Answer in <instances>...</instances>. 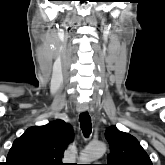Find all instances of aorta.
I'll return each instance as SVG.
<instances>
[{"instance_id":"obj_1","label":"aorta","mask_w":165,"mask_h":165,"mask_svg":"<svg viewBox=\"0 0 165 165\" xmlns=\"http://www.w3.org/2000/svg\"><path fill=\"white\" fill-rule=\"evenodd\" d=\"M106 151V146L103 143L89 144L80 154L79 161L82 164H89L101 158Z\"/></svg>"}]
</instances>
